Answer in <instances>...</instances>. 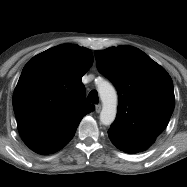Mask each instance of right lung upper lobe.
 <instances>
[{
  "label": "right lung upper lobe",
  "mask_w": 187,
  "mask_h": 187,
  "mask_svg": "<svg viewBox=\"0 0 187 187\" xmlns=\"http://www.w3.org/2000/svg\"><path fill=\"white\" fill-rule=\"evenodd\" d=\"M91 50L62 44L33 57L13 94L17 127L25 144L39 154L59 150L94 110L85 103L82 76L92 66Z\"/></svg>",
  "instance_id": "obj_1"
}]
</instances>
